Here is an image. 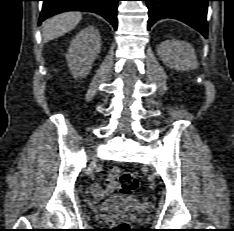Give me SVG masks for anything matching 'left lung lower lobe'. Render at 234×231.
I'll return each mask as SVG.
<instances>
[{"label": "left lung lower lobe", "instance_id": "left-lung-lower-lobe-1", "mask_svg": "<svg viewBox=\"0 0 234 231\" xmlns=\"http://www.w3.org/2000/svg\"><path fill=\"white\" fill-rule=\"evenodd\" d=\"M148 7V29L159 19L180 20L207 37V2L211 0H143Z\"/></svg>", "mask_w": 234, "mask_h": 231}]
</instances>
